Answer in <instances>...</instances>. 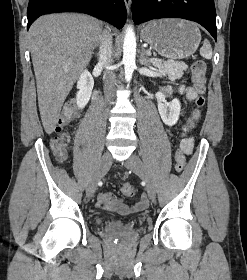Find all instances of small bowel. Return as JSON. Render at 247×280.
<instances>
[{
	"label": "small bowel",
	"mask_w": 247,
	"mask_h": 280,
	"mask_svg": "<svg viewBox=\"0 0 247 280\" xmlns=\"http://www.w3.org/2000/svg\"><path fill=\"white\" fill-rule=\"evenodd\" d=\"M168 92L170 88L166 89ZM178 91L184 94L188 100H193L197 96V92L192 87L181 86ZM194 140L192 137L184 139L181 142V149L184 153L189 154L192 151ZM97 206L104 210L116 211L122 215H127L134 212L144 210L148 206V199L146 195H142L140 200L133 204L127 205L121 203L113 193L106 192L99 195Z\"/></svg>",
	"instance_id": "c3829d8e"
}]
</instances>
